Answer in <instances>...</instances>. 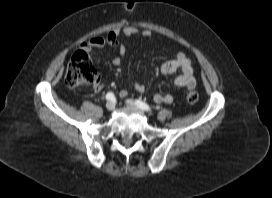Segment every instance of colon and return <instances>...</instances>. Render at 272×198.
Here are the masks:
<instances>
[{
  "label": "colon",
  "instance_id": "5ec220e1",
  "mask_svg": "<svg viewBox=\"0 0 272 198\" xmlns=\"http://www.w3.org/2000/svg\"><path fill=\"white\" fill-rule=\"evenodd\" d=\"M97 77L98 71L88 53L82 50L77 51L65 73L66 85L72 88L89 85L95 82ZM186 98L189 103L194 104L198 101L199 95L195 91H190Z\"/></svg>",
  "mask_w": 272,
  "mask_h": 198
}]
</instances>
